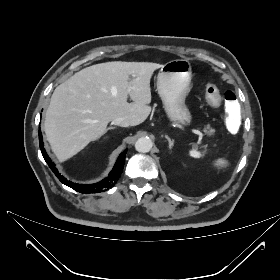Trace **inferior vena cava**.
Here are the masks:
<instances>
[{
    "label": "inferior vena cava",
    "instance_id": "1",
    "mask_svg": "<svg viewBox=\"0 0 280 280\" xmlns=\"http://www.w3.org/2000/svg\"><path fill=\"white\" fill-rule=\"evenodd\" d=\"M112 124L114 125H118V126H122V127H128L130 126V121L127 120L126 118L124 117H118V118H115L114 120H112Z\"/></svg>",
    "mask_w": 280,
    "mask_h": 280
}]
</instances>
